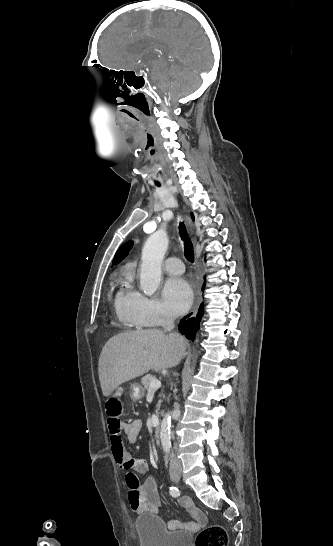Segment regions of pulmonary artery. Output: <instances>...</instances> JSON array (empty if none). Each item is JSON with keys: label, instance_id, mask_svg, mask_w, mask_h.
<instances>
[{"label": "pulmonary artery", "instance_id": "pulmonary-artery-1", "mask_svg": "<svg viewBox=\"0 0 333 546\" xmlns=\"http://www.w3.org/2000/svg\"><path fill=\"white\" fill-rule=\"evenodd\" d=\"M163 269L171 274H181L184 272V265L177 257H169L163 262Z\"/></svg>", "mask_w": 333, "mask_h": 546}]
</instances>
